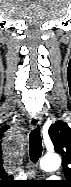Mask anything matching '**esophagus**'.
<instances>
[{
	"instance_id": "obj_1",
	"label": "esophagus",
	"mask_w": 71,
	"mask_h": 187,
	"mask_svg": "<svg viewBox=\"0 0 71 187\" xmlns=\"http://www.w3.org/2000/svg\"><path fill=\"white\" fill-rule=\"evenodd\" d=\"M41 121H42V119H41V117L39 115L31 117L30 120H29L30 127L32 129H34L37 126H40L41 125Z\"/></svg>"
}]
</instances>
